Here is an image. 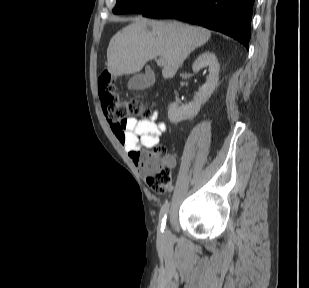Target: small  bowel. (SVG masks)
Returning <instances> with one entry per match:
<instances>
[{"mask_svg":"<svg viewBox=\"0 0 309 288\" xmlns=\"http://www.w3.org/2000/svg\"><path fill=\"white\" fill-rule=\"evenodd\" d=\"M167 130L165 122L157 121V112L149 118H129L113 125V132L122 147L131 155L142 147L152 148ZM174 163V160H171Z\"/></svg>","mask_w":309,"mask_h":288,"instance_id":"small-bowel-1","label":"small bowel"}]
</instances>
